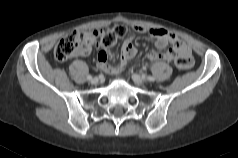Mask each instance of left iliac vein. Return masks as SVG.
Instances as JSON below:
<instances>
[{"instance_id": "1", "label": "left iliac vein", "mask_w": 238, "mask_h": 158, "mask_svg": "<svg viewBox=\"0 0 238 158\" xmlns=\"http://www.w3.org/2000/svg\"><path fill=\"white\" fill-rule=\"evenodd\" d=\"M132 79L138 85H143L144 84V79L142 77H140L138 74H133Z\"/></svg>"}]
</instances>
